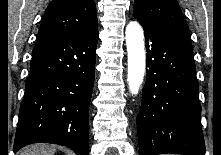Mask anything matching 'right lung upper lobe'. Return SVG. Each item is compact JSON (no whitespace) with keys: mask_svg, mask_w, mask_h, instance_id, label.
I'll return each instance as SVG.
<instances>
[{"mask_svg":"<svg viewBox=\"0 0 221 155\" xmlns=\"http://www.w3.org/2000/svg\"><path fill=\"white\" fill-rule=\"evenodd\" d=\"M96 26L93 0H53L45 11L38 38L84 32Z\"/></svg>","mask_w":221,"mask_h":155,"instance_id":"1","label":"right lung upper lobe"}]
</instances>
